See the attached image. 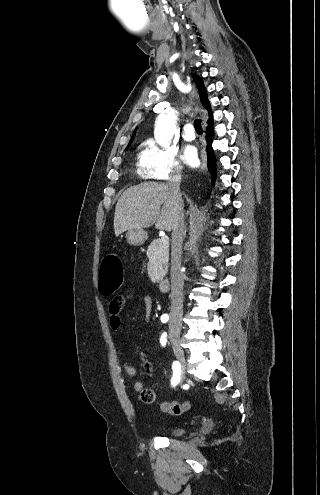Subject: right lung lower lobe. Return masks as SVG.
<instances>
[{
    "instance_id": "98d812e1",
    "label": "right lung lower lobe",
    "mask_w": 320,
    "mask_h": 495,
    "mask_svg": "<svg viewBox=\"0 0 320 495\" xmlns=\"http://www.w3.org/2000/svg\"><path fill=\"white\" fill-rule=\"evenodd\" d=\"M214 138L213 122L208 123L206 129V141H207V160H208V170L210 172L212 183L214 184L216 178V159L214 155V150L212 148V141Z\"/></svg>"
}]
</instances>
